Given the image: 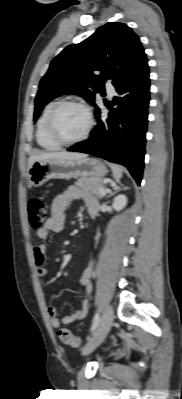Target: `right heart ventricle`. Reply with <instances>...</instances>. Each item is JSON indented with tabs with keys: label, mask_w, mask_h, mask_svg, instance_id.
Here are the masks:
<instances>
[{
	"label": "right heart ventricle",
	"mask_w": 182,
	"mask_h": 399,
	"mask_svg": "<svg viewBox=\"0 0 182 399\" xmlns=\"http://www.w3.org/2000/svg\"><path fill=\"white\" fill-rule=\"evenodd\" d=\"M56 103H57V101H51L50 103H48L45 106V108L38 120V123H37L36 141H37L38 145L45 150H56L60 147V144L55 142L49 136L48 131H47L48 115Z\"/></svg>",
	"instance_id": "e07e8e85"
}]
</instances>
